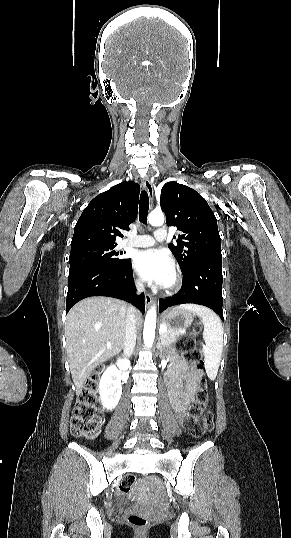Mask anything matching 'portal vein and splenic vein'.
<instances>
[{
    "label": "portal vein and splenic vein",
    "instance_id": "obj_1",
    "mask_svg": "<svg viewBox=\"0 0 291 538\" xmlns=\"http://www.w3.org/2000/svg\"><path fill=\"white\" fill-rule=\"evenodd\" d=\"M165 331H166V327H164V326H160V330H159V332H160V333H163V332H165Z\"/></svg>",
    "mask_w": 291,
    "mask_h": 538
}]
</instances>
